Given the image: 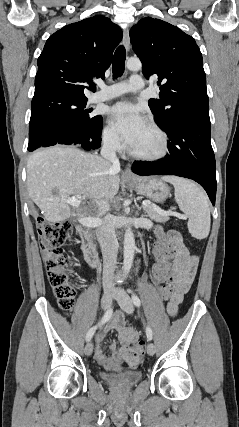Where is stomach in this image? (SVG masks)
Masks as SVG:
<instances>
[{"label": "stomach", "instance_id": "obj_1", "mask_svg": "<svg viewBox=\"0 0 239 427\" xmlns=\"http://www.w3.org/2000/svg\"><path fill=\"white\" fill-rule=\"evenodd\" d=\"M127 185L138 194L158 203L164 202L170 193L168 185L157 178L142 177L134 182H128Z\"/></svg>", "mask_w": 239, "mask_h": 427}]
</instances>
